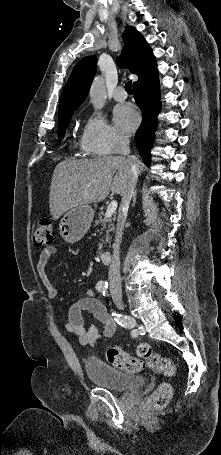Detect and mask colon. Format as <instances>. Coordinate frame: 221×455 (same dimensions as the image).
I'll list each match as a JSON object with an SVG mask.
<instances>
[{
  "label": "colon",
  "instance_id": "5ec220e1",
  "mask_svg": "<svg viewBox=\"0 0 221 455\" xmlns=\"http://www.w3.org/2000/svg\"><path fill=\"white\" fill-rule=\"evenodd\" d=\"M54 241L52 222L49 219L41 220L34 230V243L36 246H50ZM138 358L131 356L121 347H111L107 351V360L115 367L129 371H141L148 367L166 376H172L175 372L173 362L166 357L155 353L147 343H141L137 347ZM172 396V387L168 383H162L151 395L149 406L161 409L165 407Z\"/></svg>",
  "mask_w": 221,
  "mask_h": 455
}]
</instances>
